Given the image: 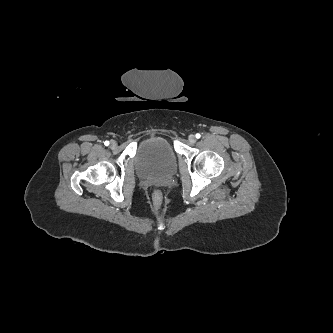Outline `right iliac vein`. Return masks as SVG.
<instances>
[{
    "instance_id": "1",
    "label": "right iliac vein",
    "mask_w": 333,
    "mask_h": 333,
    "mask_svg": "<svg viewBox=\"0 0 333 333\" xmlns=\"http://www.w3.org/2000/svg\"><path fill=\"white\" fill-rule=\"evenodd\" d=\"M110 147H111L112 149H115V148L117 147V143H116L115 141H111V143H110Z\"/></svg>"
}]
</instances>
